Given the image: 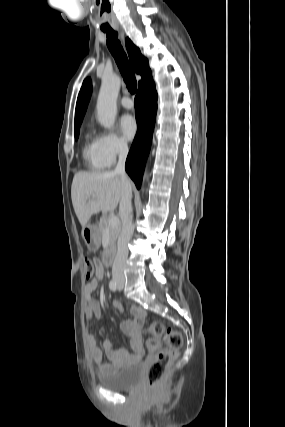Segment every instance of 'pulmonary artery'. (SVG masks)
Returning <instances> with one entry per match:
<instances>
[{"instance_id": "1", "label": "pulmonary artery", "mask_w": 285, "mask_h": 427, "mask_svg": "<svg viewBox=\"0 0 285 427\" xmlns=\"http://www.w3.org/2000/svg\"><path fill=\"white\" fill-rule=\"evenodd\" d=\"M120 103L126 109H131L134 106L133 100L131 98H129L128 96L123 97L121 99Z\"/></svg>"}]
</instances>
